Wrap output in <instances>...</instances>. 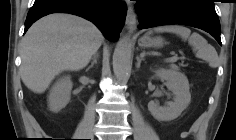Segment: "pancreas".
<instances>
[{"label":"pancreas","mask_w":236,"mask_h":140,"mask_svg":"<svg viewBox=\"0 0 236 140\" xmlns=\"http://www.w3.org/2000/svg\"><path fill=\"white\" fill-rule=\"evenodd\" d=\"M170 67H171L172 69H175V70H178V69H179V67H178L177 65H175V64H171Z\"/></svg>","instance_id":"pancreas-1"}]
</instances>
